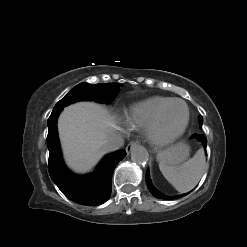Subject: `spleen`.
Returning <instances> with one entry per match:
<instances>
[{
	"mask_svg": "<svg viewBox=\"0 0 247 247\" xmlns=\"http://www.w3.org/2000/svg\"><path fill=\"white\" fill-rule=\"evenodd\" d=\"M161 154H159V157ZM207 164L204 152L196 154L180 166H171L165 159H160L159 168L165 179L178 191L185 193L193 189L201 179Z\"/></svg>",
	"mask_w": 247,
	"mask_h": 247,
	"instance_id": "obj_1",
	"label": "spleen"
}]
</instances>
